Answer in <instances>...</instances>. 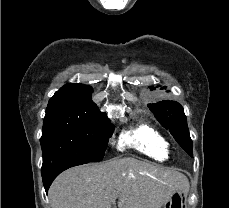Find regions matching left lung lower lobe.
Listing matches in <instances>:
<instances>
[{
    "mask_svg": "<svg viewBox=\"0 0 229 208\" xmlns=\"http://www.w3.org/2000/svg\"><path fill=\"white\" fill-rule=\"evenodd\" d=\"M185 151H186L191 157H193L192 147H191V148L185 149Z\"/></svg>",
    "mask_w": 229,
    "mask_h": 208,
    "instance_id": "left-lung-lower-lobe-1",
    "label": "left lung lower lobe"
}]
</instances>
